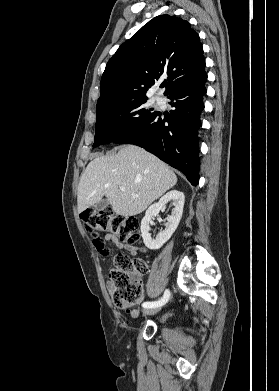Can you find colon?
Instances as JSON below:
<instances>
[{
	"mask_svg": "<svg viewBox=\"0 0 279 391\" xmlns=\"http://www.w3.org/2000/svg\"><path fill=\"white\" fill-rule=\"evenodd\" d=\"M84 228L93 237V244L101 255H108L106 240L99 236L109 233L114 240L135 245L140 242L139 221L135 217L114 214L111 209L99 211L86 210L80 215ZM147 270V264L141 260H131L125 254L114 258L109 272V290L113 302L123 310H130L143 297V287L139 275Z\"/></svg>",
	"mask_w": 279,
	"mask_h": 391,
	"instance_id": "5ec220e1",
	"label": "colon"
}]
</instances>
